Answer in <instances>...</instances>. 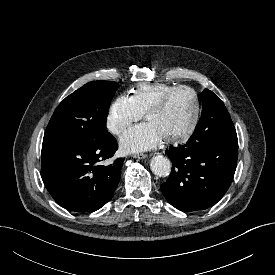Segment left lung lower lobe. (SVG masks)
<instances>
[{"label": "left lung lower lobe", "mask_w": 275, "mask_h": 275, "mask_svg": "<svg viewBox=\"0 0 275 275\" xmlns=\"http://www.w3.org/2000/svg\"><path fill=\"white\" fill-rule=\"evenodd\" d=\"M237 152V146L170 147L166 154L172 161V172L161 185L163 195L184 212L215 205L231 185Z\"/></svg>", "instance_id": "1"}]
</instances>
